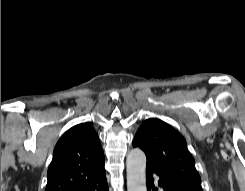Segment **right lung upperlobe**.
<instances>
[{
  "label": "right lung upper lobe",
  "mask_w": 245,
  "mask_h": 191,
  "mask_svg": "<svg viewBox=\"0 0 245 191\" xmlns=\"http://www.w3.org/2000/svg\"><path fill=\"white\" fill-rule=\"evenodd\" d=\"M102 176L104 153L98 135L89 124H78L54 148L45 191H71Z\"/></svg>",
  "instance_id": "right-lung-upper-lobe-1"
}]
</instances>
